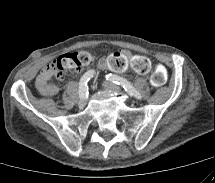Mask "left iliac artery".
I'll return each mask as SVG.
<instances>
[{"label": "left iliac artery", "mask_w": 215, "mask_h": 183, "mask_svg": "<svg viewBox=\"0 0 215 183\" xmlns=\"http://www.w3.org/2000/svg\"><path fill=\"white\" fill-rule=\"evenodd\" d=\"M105 78L107 81L121 85L130 96H134L137 99H142L141 94L126 79L114 74H108Z\"/></svg>", "instance_id": "44dca946"}]
</instances>
